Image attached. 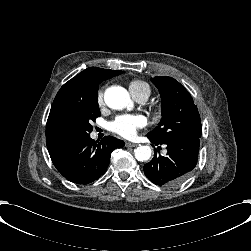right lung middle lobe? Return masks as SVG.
<instances>
[{"label": "right lung middle lobe", "mask_w": 251, "mask_h": 251, "mask_svg": "<svg viewBox=\"0 0 251 251\" xmlns=\"http://www.w3.org/2000/svg\"><path fill=\"white\" fill-rule=\"evenodd\" d=\"M99 116L97 96L70 103L60 112L62 124L77 140L90 135L93 130L91 122Z\"/></svg>", "instance_id": "obj_1"}]
</instances>
